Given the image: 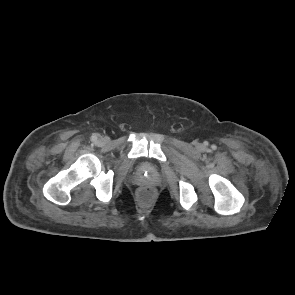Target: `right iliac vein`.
<instances>
[{
  "label": "right iliac vein",
  "mask_w": 295,
  "mask_h": 295,
  "mask_svg": "<svg viewBox=\"0 0 295 295\" xmlns=\"http://www.w3.org/2000/svg\"><path fill=\"white\" fill-rule=\"evenodd\" d=\"M104 142H106V139L105 138L99 139V143H104Z\"/></svg>",
  "instance_id": "right-iliac-vein-1"
}]
</instances>
